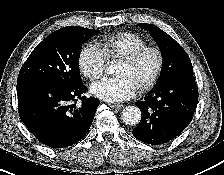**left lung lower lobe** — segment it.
Returning a JSON list of instances; mask_svg holds the SVG:
<instances>
[{"mask_svg":"<svg viewBox=\"0 0 224 175\" xmlns=\"http://www.w3.org/2000/svg\"><path fill=\"white\" fill-rule=\"evenodd\" d=\"M197 103L198 87L193 75L176 76L156 85L143 101L136 102L143 117L132 134L147 144H165L189 125Z\"/></svg>","mask_w":224,"mask_h":175,"instance_id":"obj_1","label":"left lung lower lobe"}]
</instances>
